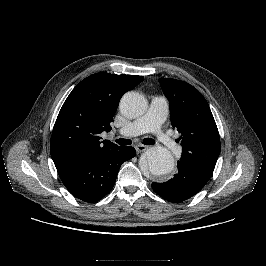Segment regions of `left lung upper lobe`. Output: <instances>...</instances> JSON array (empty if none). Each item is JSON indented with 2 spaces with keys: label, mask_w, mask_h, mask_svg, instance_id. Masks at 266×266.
<instances>
[{
  "label": "left lung upper lobe",
  "mask_w": 266,
  "mask_h": 266,
  "mask_svg": "<svg viewBox=\"0 0 266 266\" xmlns=\"http://www.w3.org/2000/svg\"><path fill=\"white\" fill-rule=\"evenodd\" d=\"M160 85L169 100L171 124L181 133L183 151L178 163L211 177L221 144L207 101L186 82L160 78Z\"/></svg>",
  "instance_id": "left-lung-upper-lobe-1"
}]
</instances>
